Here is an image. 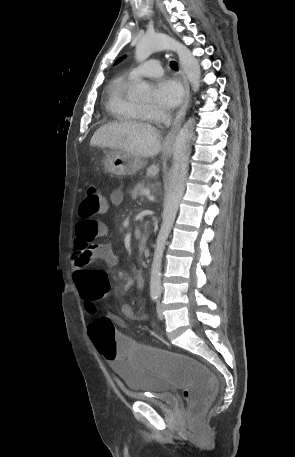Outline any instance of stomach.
<instances>
[{"instance_id": "obj_1", "label": "stomach", "mask_w": 295, "mask_h": 457, "mask_svg": "<svg viewBox=\"0 0 295 457\" xmlns=\"http://www.w3.org/2000/svg\"><path fill=\"white\" fill-rule=\"evenodd\" d=\"M144 162L122 150H110L105 153L104 168L107 172L118 176L133 175Z\"/></svg>"}]
</instances>
